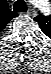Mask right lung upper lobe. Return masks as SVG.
Masks as SVG:
<instances>
[{
  "label": "right lung upper lobe",
  "instance_id": "cb5924a9",
  "mask_svg": "<svg viewBox=\"0 0 51 74\" xmlns=\"http://www.w3.org/2000/svg\"><path fill=\"white\" fill-rule=\"evenodd\" d=\"M11 17H13V18H14V14H11V15H10V18H11Z\"/></svg>",
  "mask_w": 51,
  "mask_h": 74
}]
</instances>
